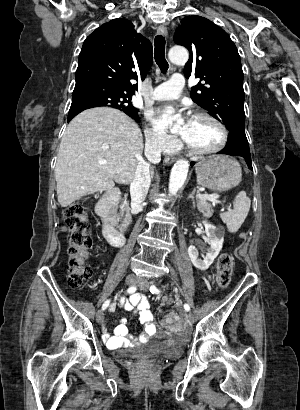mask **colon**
<instances>
[{
	"instance_id": "5ec220e1",
	"label": "colon",
	"mask_w": 300,
	"mask_h": 410,
	"mask_svg": "<svg viewBox=\"0 0 300 410\" xmlns=\"http://www.w3.org/2000/svg\"><path fill=\"white\" fill-rule=\"evenodd\" d=\"M64 220L69 230L67 281L71 287H79L92 273L91 268L85 263L88 251L92 247L89 223L80 203H73L66 209ZM232 275V256L228 252H223L217 262V286L221 289L227 288ZM177 321V314L172 312L166 317L165 325L173 326Z\"/></svg>"
}]
</instances>
